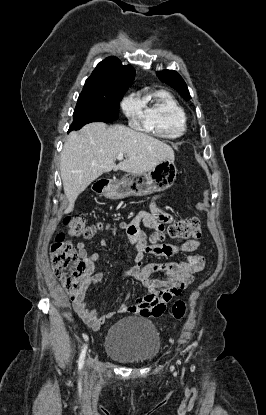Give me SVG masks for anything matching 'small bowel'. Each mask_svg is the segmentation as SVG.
Segmentation results:
<instances>
[{
	"mask_svg": "<svg viewBox=\"0 0 266 415\" xmlns=\"http://www.w3.org/2000/svg\"><path fill=\"white\" fill-rule=\"evenodd\" d=\"M160 195L155 196L150 202L148 211H140L130 222H123L119 227L125 230L130 243L136 250L134 266L123 273L118 282L127 280L139 281L147 290L148 294L138 299L133 304L125 301L129 298L130 289L127 287L124 294V302L117 310L98 315L96 309L86 303L88 290L103 279V274L97 272L95 267L99 260L97 253H88L83 242L77 244L78 253L87 265V271L81 280L78 295L72 299V307L77 315L91 329L98 330L107 320L115 314H140L148 316L155 315L156 311L165 310L166 304L190 285L197 273L205 266V259L198 254H191L180 262L145 263L147 255L170 257L177 253H192L200 246L198 240L190 239L178 244H148L146 235L140 229V225L159 231L172 221L170 214L164 212L157 206ZM100 246H108L106 239H101ZM163 274L162 278L154 277V274ZM156 316V315H155Z\"/></svg>",
	"mask_w": 266,
	"mask_h": 415,
	"instance_id": "1",
	"label": "small bowel"
}]
</instances>
